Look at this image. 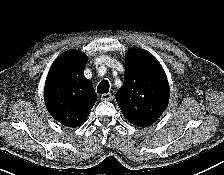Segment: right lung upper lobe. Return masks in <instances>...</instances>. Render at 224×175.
<instances>
[{"instance_id":"cb5924a9","label":"right lung upper lobe","mask_w":224,"mask_h":175,"mask_svg":"<svg viewBox=\"0 0 224 175\" xmlns=\"http://www.w3.org/2000/svg\"><path fill=\"white\" fill-rule=\"evenodd\" d=\"M87 57L69 50L53 63L45 84V103L51 116L67 127L85 122L97 101L91 82L83 71Z\"/></svg>"}]
</instances>
